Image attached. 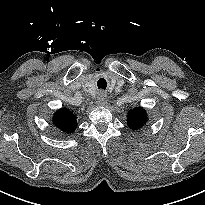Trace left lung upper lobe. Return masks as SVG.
<instances>
[{
  "label": "left lung upper lobe",
  "mask_w": 205,
  "mask_h": 205,
  "mask_svg": "<svg viewBox=\"0 0 205 205\" xmlns=\"http://www.w3.org/2000/svg\"><path fill=\"white\" fill-rule=\"evenodd\" d=\"M146 118V114L141 107L135 108L129 111L127 124L131 129L137 130L145 124Z\"/></svg>",
  "instance_id": "left-lung-upper-lobe-1"
}]
</instances>
